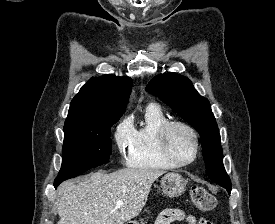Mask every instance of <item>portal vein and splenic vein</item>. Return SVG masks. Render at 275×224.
Returning a JSON list of instances; mask_svg holds the SVG:
<instances>
[{"mask_svg": "<svg viewBox=\"0 0 275 224\" xmlns=\"http://www.w3.org/2000/svg\"><path fill=\"white\" fill-rule=\"evenodd\" d=\"M122 205H123V201H122V200H118V201L116 202V207H117V208H120Z\"/></svg>", "mask_w": 275, "mask_h": 224, "instance_id": "18ae733b", "label": "portal vein and splenic vein"}]
</instances>
